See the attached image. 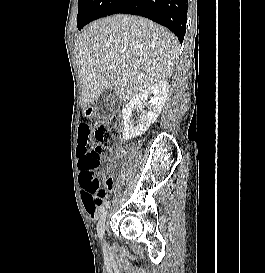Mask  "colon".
<instances>
[{
  "label": "colon",
  "mask_w": 265,
  "mask_h": 273,
  "mask_svg": "<svg viewBox=\"0 0 265 273\" xmlns=\"http://www.w3.org/2000/svg\"><path fill=\"white\" fill-rule=\"evenodd\" d=\"M119 124V118L115 117L107 123L98 125L95 129L78 128L77 152L80 156V180L84 192L105 196L106 190L112 187L110 179L102 183L97 177L101 153L99 144L109 143L116 136Z\"/></svg>",
  "instance_id": "5ec220e1"
}]
</instances>
